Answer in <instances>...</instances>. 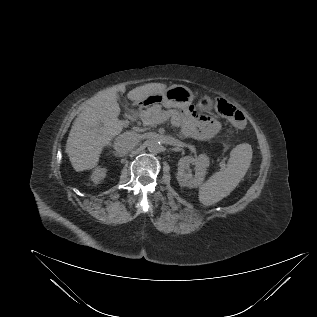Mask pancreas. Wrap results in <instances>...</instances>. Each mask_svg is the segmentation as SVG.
Segmentation results:
<instances>
[{
    "label": "pancreas",
    "mask_w": 317,
    "mask_h": 317,
    "mask_svg": "<svg viewBox=\"0 0 317 317\" xmlns=\"http://www.w3.org/2000/svg\"><path fill=\"white\" fill-rule=\"evenodd\" d=\"M162 109L160 105H153L152 107L147 108L146 110H142L139 112V118L143 122V125L147 126H154L153 120L157 115L162 114Z\"/></svg>",
    "instance_id": "pancreas-1"
}]
</instances>
